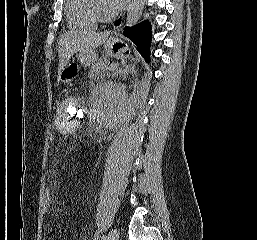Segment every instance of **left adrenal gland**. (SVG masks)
<instances>
[{
  "label": "left adrenal gland",
  "instance_id": "left-adrenal-gland-1",
  "mask_svg": "<svg viewBox=\"0 0 257 240\" xmlns=\"http://www.w3.org/2000/svg\"><path fill=\"white\" fill-rule=\"evenodd\" d=\"M134 67H131V66H128V65H123L119 70H117L116 72H115V75L117 76V75H125V74H127L128 73V71L130 70V69H133Z\"/></svg>",
  "mask_w": 257,
  "mask_h": 240
}]
</instances>
